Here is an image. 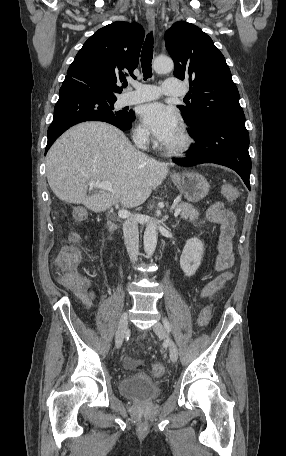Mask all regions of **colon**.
I'll use <instances>...</instances> for the list:
<instances>
[{
	"label": "colon",
	"instance_id": "1",
	"mask_svg": "<svg viewBox=\"0 0 286 456\" xmlns=\"http://www.w3.org/2000/svg\"><path fill=\"white\" fill-rule=\"evenodd\" d=\"M223 195L228 199H234L237 197V188L232 185H223L221 187ZM76 236H71L70 242L63 246L59 251L55 264L59 269V282L74 291H83L88 287L89 281L79 272H77V266L81 260V254L76 244ZM211 318L210 307H205L199 314L198 325L204 327L208 324ZM124 365L129 369L136 367L135 360L126 358ZM165 373V368L161 363H155L152 366V374L154 377H161Z\"/></svg>",
	"mask_w": 286,
	"mask_h": 456
}]
</instances>
